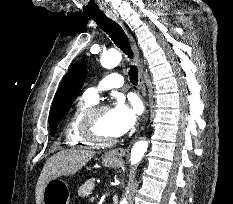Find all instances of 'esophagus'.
Instances as JSON below:
<instances>
[{
  "instance_id": "esophagus-1",
  "label": "esophagus",
  "mask_w": 233,
  "mask_h": 204,
  "mask_svg": "<svg viewBox=\"0 0 233 204\" xmlns=\"http://www.w3.org/2000/svg\"><path fill=\"white\" fill-rule=\"evenodd\" d=\"M106 15L113 18V19H115V20H117L116 14L114 12H112V11H109V10L106 11ZM126 34H127L128 38L130 40L132 50H133V53H134L133 62L135 63V65L138 68V89L140 91V94L143 97L145 105L147 106L148 105L147 101H146L147 92H146V87H145V82H144L143 67H142V64H141L140 59H139V53H138V50H137V47L135 45V42H134V39H133L132 35L127 30H126ZM124 155H125V149L124 148L114 149V150L110 151L107 154V156L109 158H112V159H121Z\"/></svg>"
}]
</instances>
